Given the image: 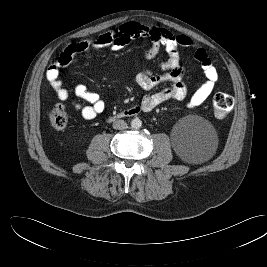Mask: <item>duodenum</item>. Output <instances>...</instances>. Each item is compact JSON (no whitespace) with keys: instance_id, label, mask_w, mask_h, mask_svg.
<instances>
[{"instance_id":"410a0bca","label":"duodenum","mask_w":267,"mask_h":267,"mask_svg":"<svg viewBox=\"0 0 267 267\" xmlns=\"http://www.w3.org/2000/svg\"><path fill=\"white\" fill-rule=\"evenodd\" d=\"M141 111L139 106H133L130 108H127L115 115V117H130L135 116Z\"/></svg>"}]
</instances>
